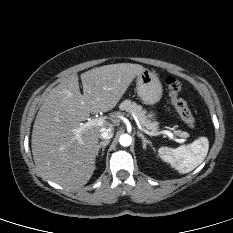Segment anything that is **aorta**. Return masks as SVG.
<instances>
[{
    "label": "aorta",
    "instance_id": "obj_1",
    "mask_svg": "<svg viewBox=\"0 0 233 233\" xmlns=\"http://www.w3.org/2000/svg\"><path fill=\"white\" fill-rule=\"evenodd\" d=\"M119 143L124 147L130 146L132 143V137L128 134H122L119 138Z\"/></svg>",
    "mask_w": 233,
    "mask_h": 233
}]
</instances>
